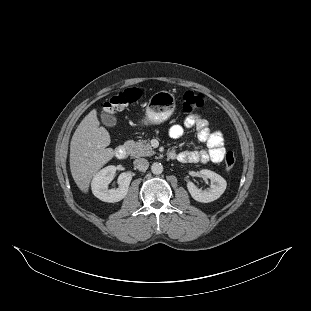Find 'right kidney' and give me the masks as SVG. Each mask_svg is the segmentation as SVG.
I'll use <instances>...</instances> for the list:
<instances>
[{"instance_id": "right-kidney-1", "label": "right kidney", "mask_w": 311, "mask_h": 311, "mask_svg": "<svg viewBox=\"0 0 311 311\" xmlns=\"http://www.w3.org/2000/svg\"><path fill=\"white\" fill-rule=\"evenodd\" d=\"M115 172V166H107L99 170L92 177L90 183L91 190L98 199L106 202H117L126 196L131 181V175L129 173H121L118 177L119 186L108 189V185L112 181Z\"/></svg>"}]
</instances>
